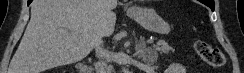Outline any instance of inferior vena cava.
<instances>
[{
	"label": "inferior vena cava",
	"instance_id": "obj_1",
	"mask_svg": "<svg viewBox=\"0 0 244 73\" xmlns=\"http://www.w3.org/2000/svg\"><path fill=\"white\" fill-rule=\"evenodd\" d=\"M95 51H96L97 57L106 59V61H110V52L103 48L102 39L99 41V43L95 47Z\"/></svg>",
	"mask_w": 244,
	"mask_h": 73
}]
</instances>
